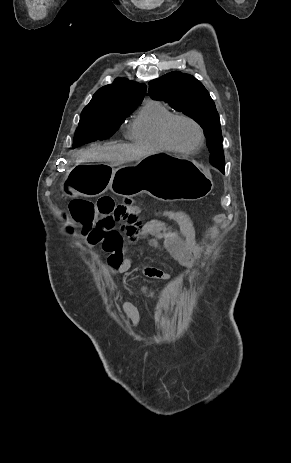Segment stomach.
<instances>
[{"instance_id": "obj_1", "label": "stomach", "mask_w": 291, "mask_h": 463, "mask_svg": "<svg viewBox=\"0 0 291 463\" xmlns=\"http://www.w3.org/2000/svg\"><path fill=\"white\" fill-rule=\"evenodd\" d=\"M212 179L196 161L176 154L155 153L132 166L85 164L66 176L62 189L69 197H95L108 189L120 196L142 192L157 200L194 201L207 196Z\"/></svg>"}]
</instances>
